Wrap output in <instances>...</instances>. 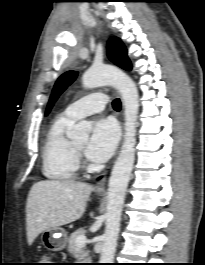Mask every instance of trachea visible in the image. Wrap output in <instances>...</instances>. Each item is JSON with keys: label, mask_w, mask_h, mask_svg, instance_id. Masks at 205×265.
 <instances>
[{"label": "trachea", "mask_w": 205, "mask_h": 265, "mask_svg": "<svg viewBox=\"0 0 205 265\" xmlns=\"http://www.w3.org/2000/svg\"><path fill=\"white\" fill-rule=\"evenodd\" d=\"M112 106H113V108L115 109V110H120V108H121V102H120V99H115V100H113V102H112Z\"/></svg>", "instance_id": "obj_1"}]
</instances>
